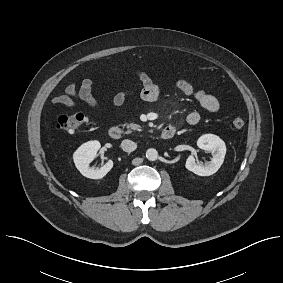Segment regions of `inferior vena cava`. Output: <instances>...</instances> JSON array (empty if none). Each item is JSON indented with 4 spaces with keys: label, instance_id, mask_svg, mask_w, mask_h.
I'll return each instance as SVG.
<instances>
[{
    "label": "inferior vena cava",
    "instance_id": "1",
    "mask_svg": "<svg viewBox=\"0 0 283 283\" xmlns=\"http://www.w3.org/2000/svg\"><path fill=\"white\" fill-rule=\"evenodd\" d=\"M121 148L123 151L130 153V152H133L137 148V145L132 140L125 139L121 143Z\"/></svg>",
    "mask_w": 283,
    "mask_h": 283
}]
</instances>
